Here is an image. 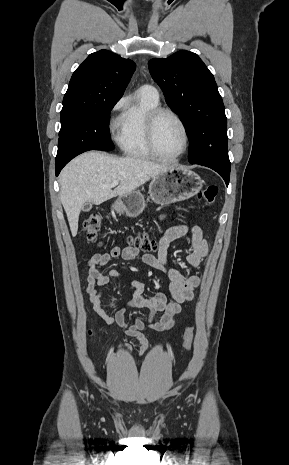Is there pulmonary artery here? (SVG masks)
<instances>
[{
    "instance_id": "pulmonary-artery-1",
    "label": "pulmonary artery",
    "mask_w": 289,
    "mask_h": 465,
    "mask_svg": "<svg viewBox=\"0 0 289 465\" xmlns=\"http://www.w3.org/2000/svg\"><path fill=\"white\" fill-rule=\"evenodd\" d=\"M141 88L149 91L150 93H152L153 95L158 97V91H157V89L155 87H153L151 85H144Z\"/></svg>"
}]
</instances>
